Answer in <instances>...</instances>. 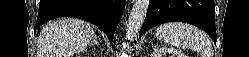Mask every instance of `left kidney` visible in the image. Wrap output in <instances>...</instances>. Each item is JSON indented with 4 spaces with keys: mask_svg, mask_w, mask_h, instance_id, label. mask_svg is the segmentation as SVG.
Listing matches in <instances>:
<instances>
[{
    "mask_svg": "<svg viewBox=\"0 0 249 57\" xmlns=\"http://www.w3.org/2000/svg\"><path fill=\"white\" fill-rule=\"evenodd\" d=\"M151 57H186V55L175 48L159 47L154 49Z\"/></svg>",
    "mask_w": 249,
    "mask_h": 57,
    "instance_id": "obj_1",
    "label": "left kidney"
}]
</instances>
